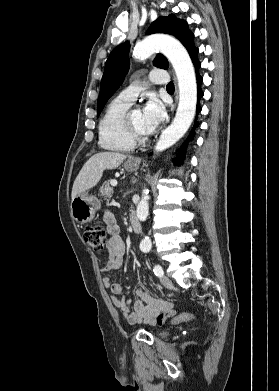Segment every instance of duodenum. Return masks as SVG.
<instances>
[{
	"label": "duodenum",
	"mask_w": 279,
	"mask_h": 391,
	"mask_svg": "<svg viewBox=\"0 0 279 391\" xmlns=\"http://www.w3.org/2000/svg\"><path fill=\"white\" fill-rule=\"evenodd\" d=\"M130 224H131V228H132L133 233H135V234L141 233L142 226L134 213H131V215H130Z\"/></svg>",
	"instance_id": "duodenum-1"
}]
</instances>
